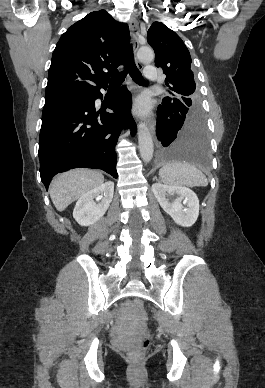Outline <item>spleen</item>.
<instances>
[{"mask_svg": "<svg viewBox=\"0 0 265 388\" xmlns=\"http://www.w3.org/2000/svg\"><path fill=\"white\" fill-rule=\"evenodd\" d=\"M159 178L163 184H169V186H188V188H194V186H207V178L189 164V162H179V160H172L165 164L161 170H159Z\"/></svg>", "mask_w": 265, "mask_h": 388, "instance_id": "obj_1", "label": "spleen"}]
</instances>
